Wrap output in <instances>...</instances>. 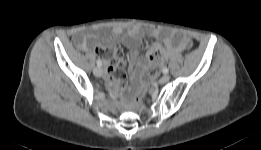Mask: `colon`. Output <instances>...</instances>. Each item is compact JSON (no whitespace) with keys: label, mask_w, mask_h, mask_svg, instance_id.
Masks as SVG:
<instances>
[{"label":"colon","mask_w":261,"mask_h":150,"mask_svg":"<svg viewBox=\"0 0 261 150\" xmlns=\"http://www.w3.org/2000/svg\"><path fill=\"white\" fill-rule=\"evenodd\" d=\"M161 60V52L158 49H154L150 54V66L141 74L139 82L134 89L137 100L142 98L144 88L147 82L156 74L161 65Z\"/></svg>","instance_id":"5ec220e1"}]
</instances>
